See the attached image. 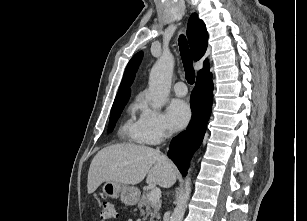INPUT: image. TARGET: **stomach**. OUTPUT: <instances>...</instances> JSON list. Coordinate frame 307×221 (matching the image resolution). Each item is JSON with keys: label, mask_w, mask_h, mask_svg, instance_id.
<instances>
[{"label": "stomach", "mask_w": 307, "mask_h": 221, "mask_svg": "<svg viewBox=\"0 0 307 221\" xmlns=\"http://www.w3.org/2000/svg\"><path fill=\"white\" fill-rule=\"evenodd\" d=\"M102 191L105 196L111 198L120 197L121 201L126 205H135L140 197L138 188L115 181H106L102 186Z\"/></svg>", "instance_id": "obj_1"}]
</instances>
